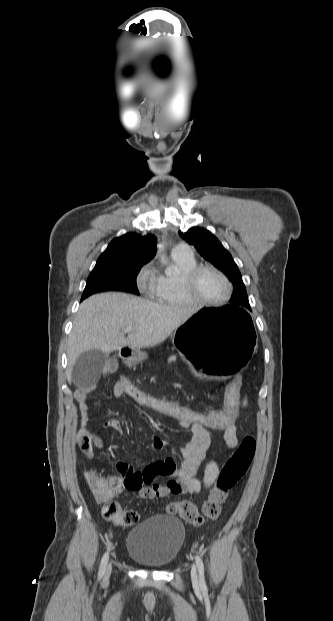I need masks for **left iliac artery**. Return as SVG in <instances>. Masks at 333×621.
<instances>
[{
    "mask_svg": "<svg viewBox=\"0 0 333 621\" xmlns=\"http://www.w3.org/2000/svg\"><path fill=\"white\" fill-rule=\"evenodd\" d=\"M196 560V564H197V568L199 571V583H200V587L202 590H207V586H206V582H205V578H204V564L203 561L201 560L200 556L196 555L195 557Z\"/></svg>",
    "mask_w": 333,
    "mask_h": 621,
    "instance_id": "left-iliac-artery-1",
    "label": "left iliac artery"
}]
</instances>
